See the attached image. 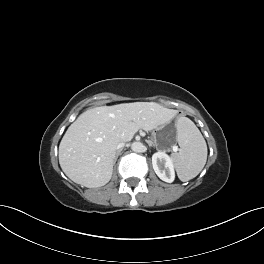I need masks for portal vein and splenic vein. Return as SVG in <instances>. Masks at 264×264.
<instances>
[{"instance_id":"portal-vein-and-splenic-vein-1","label":"portal vein and splenic vein","mask_w":264,"mask_h":264,"mask_svg":"<svg viewBox=\"0 0 264 264\" xmlns=\"http://www.w3.org/2000/svg\"><path fill=\"white\" fill-rule=\"evenodd\" d=\"M177 149H178V148H177L176 146L173 147V150H174V151H177Z\"/></svg>"}]
</instances>
